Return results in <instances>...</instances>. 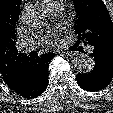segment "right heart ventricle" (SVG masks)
Returning a JSON list of instances; mask_svg holds the SVG:
<instances>
[{"instance_id": "right-heart-ventricle-1", "label": "right heart ventricle", "mask_w": 113, "mask_h": 113, "mask_svg": "<svg viewBox=\"0 0 113 113\" xmlns=\"http://www.w3.org/2000/svg\"><path fill=\"white\" fill-rule=\"evenodd\" d=\"M57 2H61L60 0H42V3L48 8L54 5Z\"/></svg>"}]
</instances>
